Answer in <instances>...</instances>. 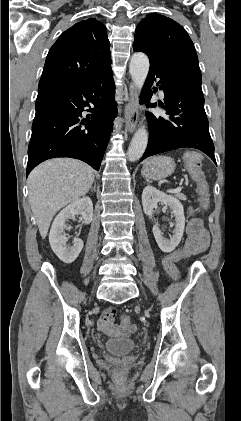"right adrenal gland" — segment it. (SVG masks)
I'll return each mask as SVG.
<instances>
[{"label":"right adrenal gland","mask_w":241,"mask_h":421,"mask_svg":"<svg viewBox=\"0 0 241 421\" xmlns=\"http://www.w3.org/2000/svg\"><path fill=\"white\" fill-rule=\"evenodd\" d=\"M96 185L94 184V186L91 188V190H93L94 192L96 191Z\"/></svg>","instance_id":"right-adrenal-gland-1"}]
</instances>
